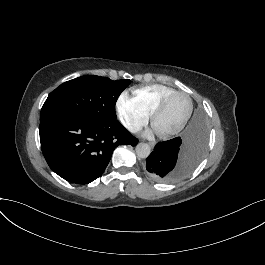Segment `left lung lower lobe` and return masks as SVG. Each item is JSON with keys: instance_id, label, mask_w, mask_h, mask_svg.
I'll return each instance as SVG.
<instances>
[{"instance_id": "obj_1", "label": "left lung lower lobe", "mask_w": 265, "mask_h": 265, "mask_svg": "<svg viewBox=\"0 0 265 265\" xmlns=\"http://www.w3.org/2000/svg\"><path fill=\"white\" fill-rule=\"evenodd\" d=\"M208 128L198 110L181 137L159 142L146 159L147 174L158 182H173L188 175L199 164L206 150Z\"/></svg>"}]
</instances>
